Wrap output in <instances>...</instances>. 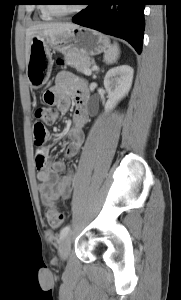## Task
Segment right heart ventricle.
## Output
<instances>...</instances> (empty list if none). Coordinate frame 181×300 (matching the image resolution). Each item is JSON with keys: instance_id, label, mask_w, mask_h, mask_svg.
Here are the masks:
<instances>
[{"instance_id": "1", "label": "right heart ventricle", "mask_w": 181, "mask_h": 300, "mask_svg": "<svg viewBox=\"0 0 181 300\" xmlns=\"http://www.w3.org/2000/svg\"><path fill=\"white\" fill-rule=\"evenodd\" d=\"M39 14H40V18L44 21L53 20V16L47 11L45 4L41 5V7L39 8Z\"/></svg>"}]
</instances>
